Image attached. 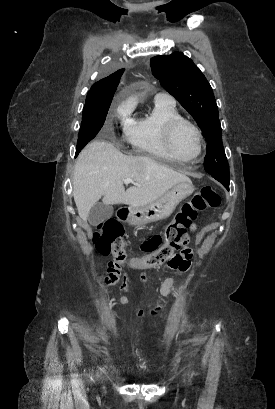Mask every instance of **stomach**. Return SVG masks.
Here are the masks:
<instances>
[{
  "label": "stomach",
  "instance_id": "obj_1",
  "mask_svg": "<svg viewBox=\"0 0 275 409\" xmlns=\"http://www.w3.org/2000/svg\"><path fill=\"white\" fill-rule=\"evenodd\" d=\"M193 190L194 186L191 180L177 182L165 194H162L156 200H152V202H148V205L131 207L127 221L130 225L145 227L148 223H156V221L167 219L176 209L178 202L192 194Z\"/></svg>",
  "mask_w": 275,
  "mask_h": 409
}]
</instances>
